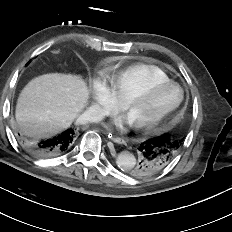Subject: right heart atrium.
Returning a JSON list of instances; mask_svg holds the SVG:
<instances>
[{
    "label": "right heart atrium",
    "instance_id": "d8ad5b80",
    "mask_svg": "<svg viewBox=\"0 0 232 232\" xmlns=\"http://www.w3.org/2000/svg\"><path fill=\"white\" fill-rule=\"evenodd\" d=\"M91 96L93 102L90 109V116L94 119H101L122 108V102L114 95L104 75L98 76L93 80Z\"/></svg>",
    "mask_w": 232,
    "mask_h": 232
}]
</instances>
